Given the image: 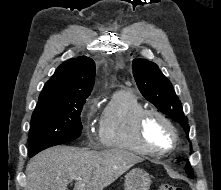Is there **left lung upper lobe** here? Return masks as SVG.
Wrapping results in <instances>:
<instances>
[{"label": "left lung upper lobe", "mask_w": 221, "mask_h": 190, "mask_svg": "<svg viewBox=\"0 0 221 190\" xmlns=\"http://www.w3.org/2000/svg\"><path fill=\"white\" fill-rule=\"evenodd\" d=\"M132 69L138 89L145 99L178 122L188 136V119L183 113L181 101L176 96L171 82L163 75L158 66L145 59H134ZM185 171L191 178L193 177L189 163H187Z\"/></svg>", "instance_id": "1"}]
</instances>
